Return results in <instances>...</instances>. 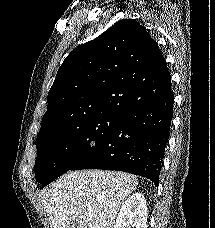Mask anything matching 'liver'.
<instances>
[{"label": "liver", "mask_w": 215, "mask_h": 228, "mask_svg": "<svg viewBox=\"0 0 215 228\" xmlns=\"http://www.w3.org/2000/svg\"><path fill=\"white\" fill-rule=\"evenodd\" d=\"M125 172H67L41 190L50 228H113L124 200L138 188Z\"/></svg>", "instance_id": "1"}]
</instances>
